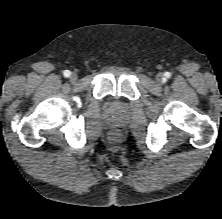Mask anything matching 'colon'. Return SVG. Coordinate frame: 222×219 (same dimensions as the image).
<instances>
[{
    "label": "colon",
    "instance_id": "colon-1",
    "mask_svg": "<svg viewBox=\"0 0 222 219\" xmlns=\"http://www.w3.org/2000/svg\"><path fill=\"white\" fill-rule=\"evenodd\" d=\"M121 141V134L114 130V131H111L108 135V142L109 144H111L112 146H117Z\"/></svg>",
    "mask_w": 222,
    "mask_h": 219
}]
</instances>
